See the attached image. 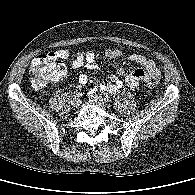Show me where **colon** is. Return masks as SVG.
<instances>
[{
  "label": "colon",
  "mask_w": 195,
  "mask_h": 195,
  "mask_svg": "<svg viewBox=\"0 0 195 195\" xmlns=\"http://www.w3.org/2000/svg\"><path fill=\"white\" fill-rule=\"evenodd\" d=\"M30 71L33 75V82L36 86H43L49 82L61 80L65 76V65L50 53L39 55L33 60ZM158 85L156 80L148 81L149 88Z\"/></svg>",
  "instance_id": "obj_1"
}]
</instances>
